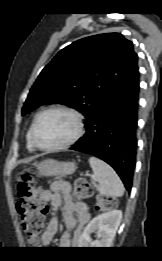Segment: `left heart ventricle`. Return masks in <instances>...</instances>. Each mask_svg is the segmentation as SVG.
Wrapping results in <instances>:
<instances>
[{"label":"left heart ventricle","mask_w":162,"mask_h":261,"mask_svg":"<svg viewBox=\"0 0 162 261\" xmlns=\"http://www.w3.org/2000/svg\"><path fill=\"white\" fill-rule=\"evenodd\" d=\"M73 116L63 111L44 114L36 127V140L44 147L55 146L65 142L75 132Z\"/></svg>","instance_id":"obj_1"}]
</instances>
